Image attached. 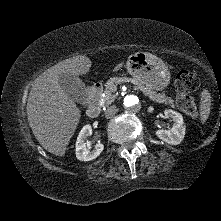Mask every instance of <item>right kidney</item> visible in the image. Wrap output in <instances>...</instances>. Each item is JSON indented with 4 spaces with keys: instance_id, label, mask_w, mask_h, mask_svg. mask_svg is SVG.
<instances>
[{
    "instance_id": "1",
    "label": "right kidney",
    "mask_w": 221,
    "mask_h": 221,
    "mask_svg": "<svg viewBox=\"0 0 221 221\" xmlns=\"http://www.w3.org/2000/svg\"><path fill=\"white\" fill-rule=\"evenodd\" d=\"M92 134V128L91 125L87 124L83 126L81 131L79 132V135L77 137L76 141V157L77 159L81 161H91L95 158H97L100 153L104 149V145L100 142H98L93 150H89L86 147L85 140L88 136Z\"/></svg>"
}]
</instances>
